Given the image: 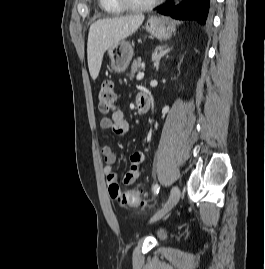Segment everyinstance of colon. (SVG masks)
<instances>
[{
  "instance_id": "1",
  "label": "colon",
  "mask_w": 265,
  "mask_h": 269,
  "mask_svg": "<svg viewBox=\"0 0 265 269\" xmlns=\"http://www.w3.org/2000/svg\"><path fill=\"white\" fill-rule=\"evenodd\" d=\"M116 106V93L112 81H104L98 91V107L101 113L112 112ZM113 198L119 200L122 205L137 207L145 203V194L141 190L121 191L117 186L109 188Z\"/></svg>"
}]
</instances>
